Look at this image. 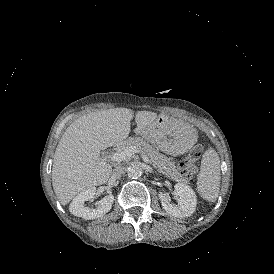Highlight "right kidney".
I'll list each match as a JSON object with an SVG mask.
<instances>
[{"label":"right kidney","instance_id":"ca27d5eb","mask_svg":"<svg viewBox=\"0 0 274 274\" xmlns=\"http://www.w3.org/2000/svg\"><path fill=\"white\" fill-rule=\"evenodd\" d=\"M96 194V188L90 187L81 191L70 203L69 211L77 216L82 217L85 220H92L104 216L107 212L110 211L114 196L107 195L96 203L97 207L91 209L84 206V202L92 199Z\"/></svg>","mask_w":274,"mask_h":274}]
</instances>
